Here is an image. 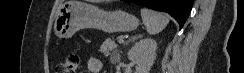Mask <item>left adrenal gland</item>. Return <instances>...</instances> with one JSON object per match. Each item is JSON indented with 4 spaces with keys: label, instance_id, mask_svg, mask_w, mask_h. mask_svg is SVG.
Instances as JSON below:
<instances>
[{
    "label": "left adrenal gland",
    "instance_id": "a2214340",
    "mask_svg": "<svg viewBox=\"0 0 244 73\" xmlns=\"http://www.w3.org/2000/svg\"><path fill=\"white\" fill-rule=\"evenodd\" d=\"M138 37H141V35H135V36L131 37V39H129V41L135 40V39H137ZM129 41H127L126 44H127Z\"/></svg>",
    "mask_w": 244,
    "mask_h": 73
}]
</instances>
